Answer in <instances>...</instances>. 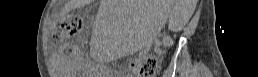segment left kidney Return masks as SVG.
Wrapping results in <instances>:
<instances>
[{
  "mask_svg": "<svg viewBox=\"0 0 258 77\" xmlns=\"http://www.w3.org/2000/svg\"><path fill=\"white\" fill-rule=\"evenodd\" d=\"M196 1V0H195ZM193 10H194V8H193ZM192 10V11H193ZM180 15H182V14H180ZM190 17V15H187V16H184V19H187L188 20V18Z\"/></svg>",
  "mask_w": 258,
  "mask_h": 77,
  "instance_id": "5707ae66",
  "label": "left kidney"
}]
</instances>
